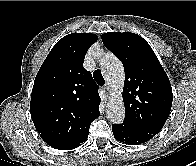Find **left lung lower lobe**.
Wrapping results in <instances>:
<instances>
[{
  "instance_id": "1",
  "label": "left lung lower lobe",
  "mask_w": 196,
  "mask_h": 166,
  "mask_svg": "<svg viewBox=\"0 0 196 166\" xmlns=\"http://www.w3.org/2000/svg\"><path fill=\"white\" fill-rule=\"evenodd\" d=\"M112 131L116 140L128 145H138L150 140L154 135L137 131L127 125L113 124Z\"/></svg>"
}]
</instances>
